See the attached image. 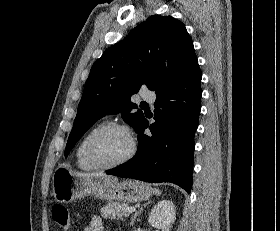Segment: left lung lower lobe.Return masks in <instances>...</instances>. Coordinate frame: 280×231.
<instances>
[{
  "label": "left lung lower lobe",
  "mask_w": 280,
  "mask_h": 231,
  "mask_svg": "<svg viewBox=\"0 0 280 231\" xmlns=\"http://www.w3.org/2000/svg\"><path fill=\"white\" fill-rule=\"evenodd\" d=\"M202 73L197 67L189 76L156 92L150 135L148 121H138V150L128 162L107 170V174L146 182H171L190 193L194 134L201 110Z\"/></svg>",
  "instance_id": "obj_1"
}]
</instances>
